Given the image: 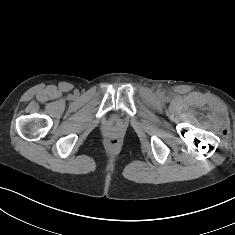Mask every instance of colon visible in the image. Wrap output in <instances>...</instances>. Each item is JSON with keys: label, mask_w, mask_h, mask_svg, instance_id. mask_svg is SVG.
<instances>
[{"label": "colon", "mask_w": 235, "mask_h": 235, "mask_svg": "<svg viewBox=\"0 0 235 235\" xmlns=\"http://www.w3.org/2000/svg\"><path fill=\"white\" fill-rule=\"evenodd\" d=\"M117 143H118L117 139H111L110 140V144L113 145V146L116 145Z\"/></svg>", "instance_id": "colon-1"}]
</instances>
